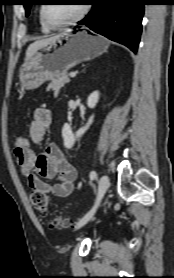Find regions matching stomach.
<instances>
[{"label":"stomach","instance_id":"1","mask_svg":"<svg viewBox=\"0 0 174 278\" xmlns=\"http://www.w3.org/2000/svg\"><path fill=\"white\" fill-rule=\"evenodd\" d=\"M109 46L106 38L86 29L67 31L51 43L37 49L19 69L22 90L40 87L77 64L103 54Z\"/></svg>","mask_w":174,"mask_h":278}]
</instances>
